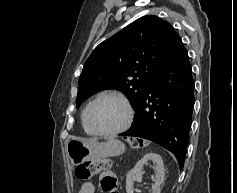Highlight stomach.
I'll list each match as a JSON object with an SVG mask.
<instances>
[{"label":"stomach","mask_w":237,"mask_h":193,"mask_svg":"<svg viewBox=\"0 0 237 193\" xmlns=\"http://www.w3.org/2000/svg\"><path fill=\"white\" fill-rule=\"evenodd\" d=\"M66 151L70 162L78 166L90 159L119 156L125 152V145L117 139L101 143L71 139L67 142Z\"/></svg>","instance_id":"0dacf381"}]
</instances>
